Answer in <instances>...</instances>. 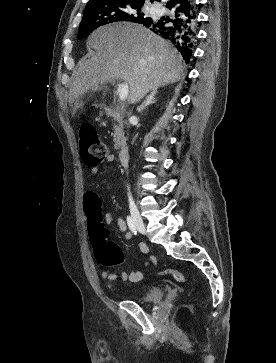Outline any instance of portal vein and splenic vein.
Here are the masks:
<instances>
[{
	"instance_id": "obj_1",
	"label": "portal vein and splenic vein",
	"mask_w": 276,
	"mask_h": 363,
	"mask_svg": "<svg viewBox=\"0 0 276 363\" xmlns=\"http://www.w3.org/2000/svg\"><path fill=\"white\" fill-rule=\"evenodd\" d=\"M129 92V87L127 83H119L117 88V93L121 101H125Z\"/></svg>"
}]
</instances>
